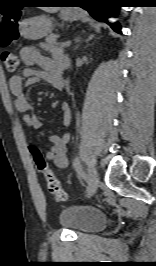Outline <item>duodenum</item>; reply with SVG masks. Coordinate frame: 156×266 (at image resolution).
Masks as SVG:
<instances>
[{"label": "duodenum", "mask_w": 156, "mask_h": 266, "mask_svg": "<svg viewBox=\"0 0 156 266\" xmlns=\"http://www.w3.org/2000/svg\"><path fill=\"white\" fill-rule=\"evenodd\" d=\"M70 68V61L67 59L64 61V69H69Z\"/></svg>", "instance_id": "obj_1"}]
</instances>
